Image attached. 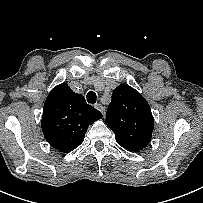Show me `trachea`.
I'll return each instance as SVG.
<instances>
[{"instance_id":"1","label":"trachea","mask_w":203,"mask_h":203,"mask_svg":"<svg viewBox=\"0 0 203 203\" xmlns=\"http://www.w3.org/2000/svg\"><path fill=\"white\" fill-rule=\"evenodd\" d=\"M96 99H97V96H96V93L93 92V91H89L87 93V102L90 103V104H94L96 103Z\"/></svg>"}]
</instances>
